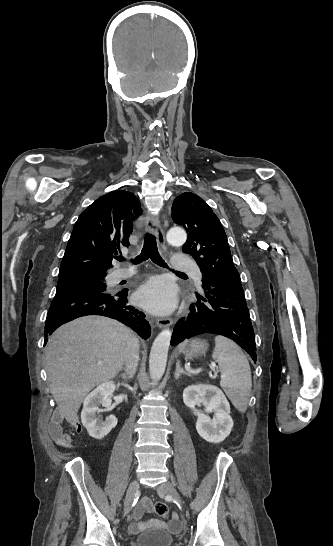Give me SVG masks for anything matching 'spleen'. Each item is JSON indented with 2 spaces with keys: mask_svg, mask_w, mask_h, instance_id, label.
<instances>
[{
  "mask_svg": "<svg viewBox=\"0 0 333 546\" xmlns=\"http://www.w3.org/2000/svg\"><path fill=\"white\" fill-rule=\"evenodd\" d=\"M186 342L182 344V347ZM213 358L221 373L220 386L235 408L240 412L247 409L252 388L249 362L239 346L224 336L215 337Z\"/></svg>",
  "mask_w": 333,
  "mask_h": 546,
  "instance_id": "obj_1",
  "label": "spleen"
}]
</instances>
